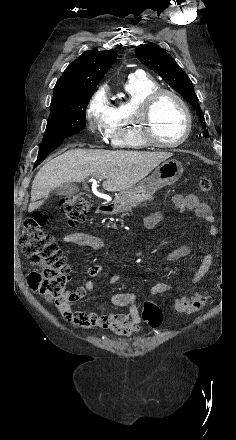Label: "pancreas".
I'll return each instance as SVG.
<instances>
[{
    "instance_id": "obj_1",
    "label": "pancreas",
    "mask_w": 236,
    "mask_h": 440,
    "mask_svg": "<svg viewBox=\"0 0 236 440\" xmlns=\"http://www.w3.org/2000/svg\"><path fill=\"white\" fill-rule=\"evenodd\" d=\"M125 215H129V213H124V214L122 215V217H124Z\"/></svg>"
}]
</instances>
